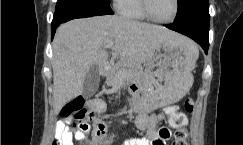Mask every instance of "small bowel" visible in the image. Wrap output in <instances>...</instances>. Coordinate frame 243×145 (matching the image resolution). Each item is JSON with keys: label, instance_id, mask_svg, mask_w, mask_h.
Masks as SVG:
<instances>
[{"label": "small bowel", "instance_id": "obj_1", "mask_svg": "<svg viewBox=\"0 0 243 145\" xmlns=\"http://www.w3.org/2000/svg\"><path fill=\"white\" fill-rule=\"evenodd\" d=\"M92 111V119L94 127L90 138L87 133L91 130L90 127L85 130L78 129L72 132L69 124L70 120L64 119L58 121L55 127V138L58 145H74L73 140H88V145H112L115 138L107 136L105 123L99 118L95 117V113H103L106 110L105 103L100 99H94L87 103ZM163 119L161 114H146L140 113L135 119L137 128L146 132L145 137L130 138L125 140L122 145H167L170 138V131L168 128H161L156 130V125Z\"/></svg>", "mask_w": 243, "mask_h": 145}]
</instances>
